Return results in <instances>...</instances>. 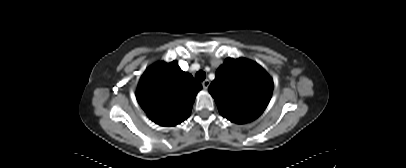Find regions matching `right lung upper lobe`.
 I'll return each instance as SVG.
<instances>
[{
	"label": "right lung upper lobe",
	"instance_id": "right-lung-upper-lobe-1",
	"mask_svg": "<svg viewBox=\"0 0 406 168\" xmlns=\"http://www.w3.org/2000/svg\"><path fill=\"white\" fill-rule=\"evenodd\" d=\"M202 85L180 69L176 61L159 62L142 75L137 100L147 116L161 126H175L186 120Z\"/></svg>",
	"mask_w": 406,
	"mask_h": 168
}]
</instances>
